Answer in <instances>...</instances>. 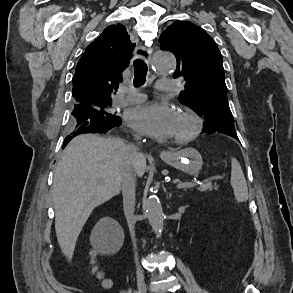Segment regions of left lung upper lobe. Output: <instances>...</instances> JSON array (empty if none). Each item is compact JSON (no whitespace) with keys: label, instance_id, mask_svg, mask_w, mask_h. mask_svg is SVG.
I'll use <instances>...</instances> for the list:
<instances>
[{"label":"left lung upper lobe","instance_id":"obj_1","mask_svg":"<svg viewBox=\"0 0 293 293\" xmlns=\"http://www.w3.org/2000/svg\"><path fill=\"white\" fill-rule=\"evenodd\" d=\"M161 49L177 59L174 78L185 83L181 104L206 118L207 132H236L227 100L222 55L215 41L200 27L177 21L160 35Z\"/></svg>","mask_w":293,"mask_h":293}]
</instances>
